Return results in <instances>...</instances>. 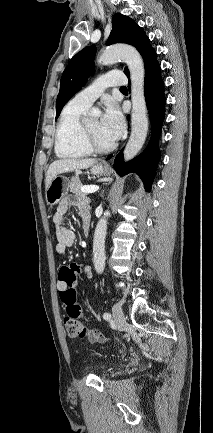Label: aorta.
I'll list each match as a JSON object with an SVG mask.
<instances>
[{
    "instance_id": "762f6f07",
    "label": "aorta",
    "mask_w": 213,
    "mask_h": 433,
    "mask_svg": "<svg viewBox=\"0 0 213 433\" xmlns=\"http://www.w3.org/2000/svg\"><path fill=\"white\" fill-rule=\"evenodd\" d=\"M123 60L129 69L131 80V135L124 149V160L134 158L142 148L148 132L147 107L144 96V63L139 52L131 46L117 45L106 49L97 59L100 65H109ZM96 111H92L95 113ZM108 211L97 223L93 240V262L95 270L101 274L105 268V237Z\"/></svg>"
}]
</instances>
